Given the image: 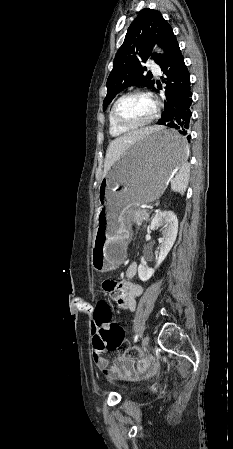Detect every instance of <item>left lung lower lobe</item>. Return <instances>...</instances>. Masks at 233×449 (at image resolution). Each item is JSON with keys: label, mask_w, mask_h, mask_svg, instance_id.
Instances as JSON below:
<instances>
[{"label": "left lung lower lobe", "mask_w": 233, "mask_h": 449, "mask_svg": "<svg viewBox=\"0 0 233 449\" xmlns=\"http://www.w3.org/2000/svg\"><path fill=\"white\" fill-rule=\"evenodd\" d=\"M165 74L166 100L162 117L157 124L172 128V132L163 138V144L170 151H179L184 143L190 142V119L192 92L190 75L184 63V58L178 48L172 57L161 66Z\"/></svg>", "instance_id": "0a47b994"}]
</instances>
